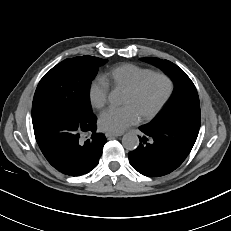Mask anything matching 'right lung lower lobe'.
Returning <instances> with one entry per match:
<instances>
[{"label": "right lung lower lobe", "mask_w": 231, "mask_h": 231, "mask_svg": "<svg viewBox=\"0 0 231 231\" xmlns=\"http://www.w3.org/2000/svg\"><path fill=\"white\" fill-rule=\"evenodd\" d=\"M33 128L43 155L59 172L80 176L97 166L106 138L96 133V118L78 124L48 117L33 122ZM84 133L91 134V138L83 141Z\"/></svg>", "instance_id": "1"}]
</instances>
